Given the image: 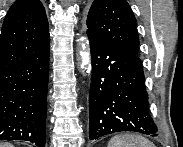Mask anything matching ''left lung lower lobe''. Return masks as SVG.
<instances>
[{"instance_id":"left-lung-lower-lobe-1","label":"left lung lower lobe","mask_w":183,"mask_h":147,"mask_svg":"<svg viewBox=\"0 0 183 147\" xmlns=\"http://www.w3.org/2000/svg\"><path fill=\"white\" fill-rule=\"evenodd\" d=\"M88 38L92 62L90 139L126 131L157 135L139 56L90 34Z\"/></svg>"}]
</instances>
